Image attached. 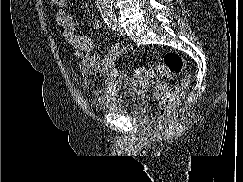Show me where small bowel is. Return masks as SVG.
Masks as SVG:
<instances>
[{"instance_id": "c3829d8e", "label": "small bowel", "mask_w": 243, "mask_h": 182, "mask_svg": "<svg viewBox=\"0 0 243 182\" xmlns=\"http://www.w3.org/2000/svg\"><path fill=\"white\" fill-rule=\"evenodd\" d=\"M56 21L62 29L65 40L73 47L74 56L79 60V69L84 77V87L93 89L94 82L91 79L93 74H102L103 87L95 89V97H115L121 90L125 93L136 92L141 87V83L130 79L124 71L115 67L117 59L126 52V48L121 43H115L103 53H92L93 40L87 35L75 32L74 17L65 10L56 12ZM95 30L102 28V22H94Z\"/></svg>"}]
</instances>
